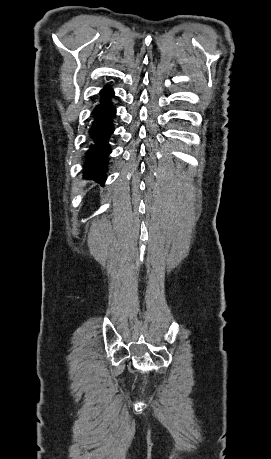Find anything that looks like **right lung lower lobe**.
<instances>
[{"label":"right lung lower lobe","mask_w":271,"mask_h":459,"mask_svg":"<svg viewBox=\"0 0 271 459\" xmlns=\"http://www.w3.org/2000/svg\"><path fill=\"white\" fill-rule=\"evenodd\" d=\"M100 95V103L92 111L93 122L89 129L88 150L85 153L83 173L87 179L103 183L107 178V157L111 152L109 140L114 132L112 119L116 109L110 100L114 92L109 85L101 90Z\"/></svg>","instance_id":"1"}]
</instances>
